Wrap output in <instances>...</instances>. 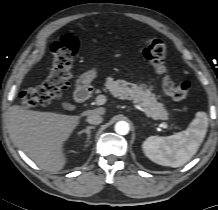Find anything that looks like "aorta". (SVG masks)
<instances>
[{"label":"aorta","instance_id":"aorta-1","mask_svg":"<svg viewBox=\"0 0 218 210\" xmlns=\"http://www.w3.org/2000/svg\"><path fill=\"white\" fill-rule=\"evenodd\" d=\"M115 131L120 135H126L129 132V124L125 121H119L115 125Z\"/></svg>","mask_w":218,"mask_h":210}]
</instances>
